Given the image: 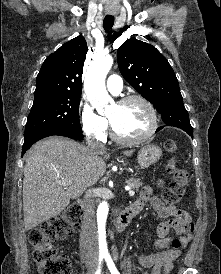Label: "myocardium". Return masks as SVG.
<instances>
[{"mask_svg":"<svg viewBox=\"0 0 221 274\" xmlns=\"http://www.w3.org/2000/svg\"><path fill=\"white\" fill-rule=\"evenodd\" d=\"M133 102H139L143 106H145V108L148 111L149 117H150V125H149L148 130L142 136L135 137V138H126V137L120 136L116 132L112 122L109 119L111 137L113 140H115L116 142L121 143V144H130L131 145V144H140V143L146 142L154 135V133L156 132V130L158 128V115H157L156 108L149 100H147L143 96L129 95V96L123 97L120 100H118L116 104L119 106H125V105H127L129 103H133Z\"/></svg>","mask_w":221,"mask_h":274,"instance_id":"f54148a6","label":"myocardium"}]
</instances>
